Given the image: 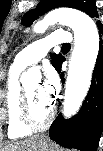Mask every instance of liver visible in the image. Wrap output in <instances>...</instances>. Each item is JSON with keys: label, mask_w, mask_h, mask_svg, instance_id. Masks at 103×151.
Returning <instances> with one entry per match:
<instances>
[{"label": "liver", "mask_w": 103, "mask_h": 151, "mask_svg": "<svg viewBox=\"0 0 103 151\" xmlns=\"http://www.w3.org/2000/svg\"><path fill=\"white\" fill-rule=\"evenodd\" d=\"M38 141V136H33L25 140L17 141L8 144L1 151H35Z\"/></svg>", "instance_id": "1"}]
</instances>
